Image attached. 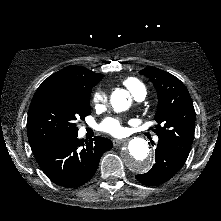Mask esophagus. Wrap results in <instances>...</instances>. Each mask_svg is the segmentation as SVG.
<instances>
[{
  "instance_id": "obj_1",
  "label": "esophagus",
  "mask_w": 221,
  "mask_h": 221,
  "mask_svg": "<svg viewBox=\"0 0 221 221\" xmlns=\"http://www.w3.org/2000/svg\"><path fill=\"white\" fill-rule=\"evenodd\" d=\"M127 143V140L126 139H122V140H117V139H114L113 140V145L116 147V146H120L121 144H125Z\"/></svg>"
}]
</instances>
